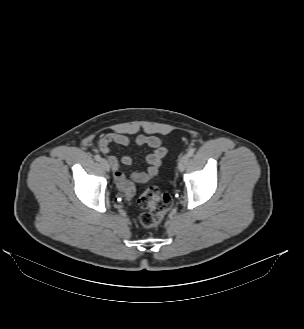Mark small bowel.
Returning a JSON list of instances; mask_svg holds the SVG:
<instances>
[{"instance_id":"c3829d8e","label":"small bowel","mask_w":304,"mask_h":329,"mask_svg":"<svg viewBox=\"0 0 304 329\" xmlns=\"http://www.w3.org/2000/svg\"><path fill=\"white\" fill-rule=\"evenodd\" d=\"M115 143L120 146H128L134 144L136 146H149L154 151L147 155L144 161L149 165L145 172H133L126 175L123 171L125 167L132 165L133 160L129 155H123L120 159L110 153V145ZM96 145L98 151L103 154L108 164L114 171V177L117 187L126 197H132L135 192V183H144L153 178L158 171L162 159L167 154V148L162 144V141L157 136L140 134L134 139L129 136L112 132L101 135Z\"/></svg>"}]
</instances>
